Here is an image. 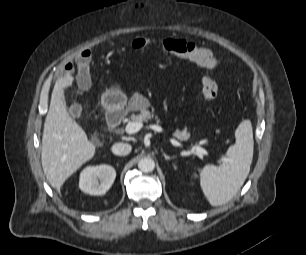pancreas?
<instances>
[{
	"label": "pancreas",
	"instance_id": "pancreas-1",
	"mask_svg": "<svg viewBox=\"0 0 306 255\" xmlns=\"http://www.w3.org/2000/svg\"><path fill=\"white\" fill-rule=\"evenodd\" d=\"M149 106V103L146 99H143L141 102H138V99L134 96L131 100V107L134 110L140 111L139 114H132L130 116V120L133 122H148L151 119L157 120V122H160L158 120L157 115L154 114V111L150 112L146 108ZM173 135L179 139V140H187L190 137L189 132L187 130L180 131L179 129H176L173 132Z\"/></svg>",
	"mask_w": 306,
	"mask_h": 255
}]
</instances>
